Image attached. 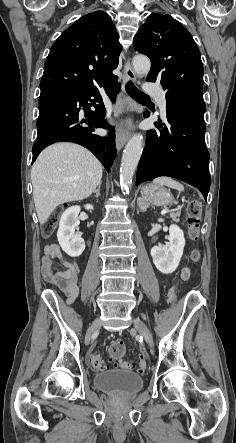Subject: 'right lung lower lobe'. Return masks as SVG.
<instances>
[{"label": "right lung lower lobe", "instance_id": "obj_1", "mask_svg": "<svg viewBox=\"0 0 236 443\" xmlns=\"http://www.w3.org/2000/svg\"><path fill=\"white\" fill-rule=\"evenodd\" d=\"M116 81L115 76L99 85L104 87L106 94L112 99L120 88L119 84H115ZM88 101L99 103L94 105L96 111L89 108ZM112 101L114 102V99ZM38 106V133L33 145L32 163L45 147L56 142L69 141L89 149L110 172L116 155L115 135L114 129L105 119L106 110L98 85L80 89L41 90ZM79 106L83 107L84 119L79 115ZM94 127L109 128V137L105 139L95 135Z\"/></svg>", "mask_w": 236, "mask_h": 443}]
</instances>
